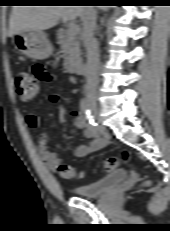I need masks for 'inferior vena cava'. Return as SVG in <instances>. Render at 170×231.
Returning a JSON list of instances; mask_svg holds the SVG:
<instances>
[{"instance_id":"602c4592","label":"inferior vena cava","mask_w":170,"mask_h":231,"mask_svg":"<svg viewBox=\"0 0 170 231\" xmlns=\"http://www.w3.org/2000/svg\"><path fill=\"white\" fill-rule=\"evenodd\" d=\"M81 19L83 22L82 38L87 53L86 91L95 93L98 83L99 51L94 38L96 28L95 6H82Z\"/></svg>"}]
</instances>
